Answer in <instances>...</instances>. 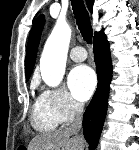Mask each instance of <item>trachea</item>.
<instances>
[{"label": "trachea", "mask_w": 139, "mask_h": 150, "mask_svg": "<svg viewBox=\"0 0 139 150\" xmlns=\"http://www.w3.org/2000/svg\"><path fill=\"white\" fill-rule=\"evenodd\" d=\"M71 2L73 13L82 37L88 44H92L93 29L84 2L83 0H71Z\"/></svg>", "instance_id": "3493384b"}]
</instances>
